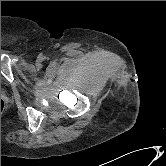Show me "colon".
Wrapping results in <instances>:
<instances>
[{
  "mask_svg": "<svg viewBox=\"0 0 166 166\" xmlns=\"http://www.w3.org/2000/svg\"><path fill=\"white\" fill-rule=\"evenodd\" d=\"M4 108H5V103H4V101L1 99V113H3Z\"/></svg>",
  "mask_w": 166,
  "mask_h": 166,
  "instance_id": "1",
  "label": "colon"
}]
</instances>
